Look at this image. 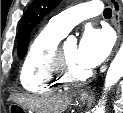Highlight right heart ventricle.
Listing matches in <instances>:
<instances>
[{
  "instance_id": "right-heart-ventricle-1",
  "label": "right heart ventricle",
  "mask_w": 123,
  "mask_h": 113,
  "mask_svg": "<svg viewBox=\"0 0 123 113\" xmlns=\"http://www.w3.org/2000/svg\"><path fill=\"white\" fill-rule=\"evenodd\" d=\"M64 36L47 25L34 37L20 71L22 86L27 91L50 93L65 83L54 69L57 48Z\"/></svg>"
}]
</instances>
